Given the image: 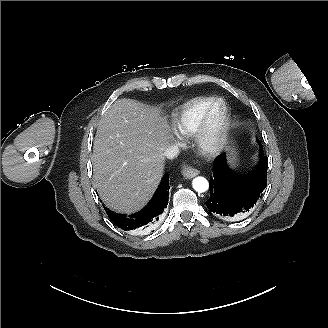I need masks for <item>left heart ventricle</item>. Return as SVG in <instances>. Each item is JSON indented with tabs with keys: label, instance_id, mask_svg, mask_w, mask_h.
Returning a JSON list of instances; mask_svg holds the SVG:
<instances>
[{
	"label": "left heart ventricle",
	"instance_id": "1",
	"mask_svg": "<svg viewBox=\"0 0 328 328\" xmlns=\"http://www.w3.org/2000/svg\"><path fill=\"white\" fill-rule=\"evenodd\" d=\"M220 120H221V114H220V113L216 114V115L213 117V121H214V123H216V124H218V123L220 122Z\"/></svg>",
	"mask_w": 328,
	"mask_h": 328
}]
</instances>
